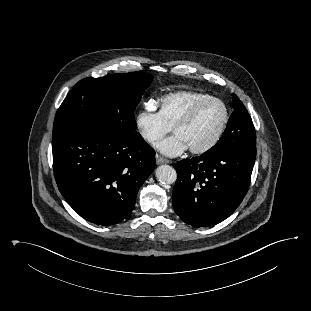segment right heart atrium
I'll use <instances>...</instances> for the list:
<instances>
[{
    "label": "right heart atrium",
    "instance_id": "obj_1",
    "mask_svg": "<svg viewBox=\"0 0 311 311\" xmlns=\"http://www.w3.org/2000/svg\"><path fill=\"white\" fill-rule=\"evenodd\" d=\"M135 126L140 137L149 145L157 143L171 127L162 119L153 101H148L135 116Z\"/></svg>",
    "mask_w": 311,
    "mask_h": 311
}]
</instances>
